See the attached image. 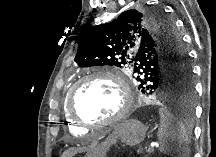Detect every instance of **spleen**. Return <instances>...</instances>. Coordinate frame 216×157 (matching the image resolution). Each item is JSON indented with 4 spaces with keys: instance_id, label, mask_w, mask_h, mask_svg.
I'll return each instance as SVG.
<instances>
[{
    "instance_id": "spleen-1",
    "label": "spleen",
    "mask_w": 216,
    "mask_h": 157,
    "mask_svg": "<svg viewBox=\"0 0 216 157\" xmlns=\"http://www.w3.org/2000/svg\"><path fill=\"white\" fill-rule=\"evenodd\" d=\"M159 115L157 137L160 152L170 156L187 157L190 143L188 127L165 108L159 109Z\"/></svg>"
}]
</instances>
